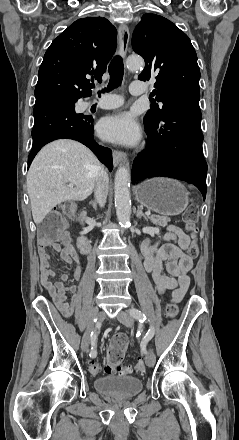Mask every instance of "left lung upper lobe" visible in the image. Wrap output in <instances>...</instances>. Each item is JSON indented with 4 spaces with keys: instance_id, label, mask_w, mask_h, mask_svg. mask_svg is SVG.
Masks as SVG:
<instances>
[{
    "instance_id": "obj_1",
    "label": "left lung upper lobe",
    "mask_w": 239,
    "mask_h": 440,
    "mask_svg": "<svg viewBox=\"0 0 239 440\" xmlns=\"http://www.w3.org/2000/svg\"><path fill=\"white\" fill-rule=\"evenodd\" d=\"M132 48L145 60V68L138 76L149 80L156 76V100L144 118L146 124H157L162 114L173 106L188 103L199 105L200 70L197 55L189 37L168 19L147 13L135 28Z\"/></svg>"
}]
</instances>
